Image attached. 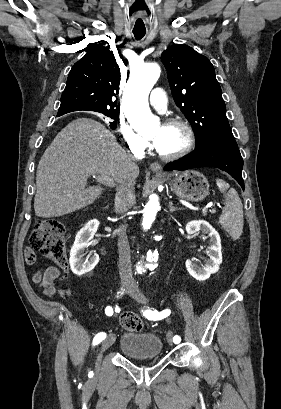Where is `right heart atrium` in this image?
Listing matches in <instances>:
<instances>
[{"label": "right heart atrium", "mask_w": 281, "mask_h": 409, "mask_svg": "<svg viewBox=\"0 0 281 409\" xmlns=\"http://www.w3.org/2000/svg\"><path fill=\"white\" fill-rule=\"evenodd\" d=\"M143 115H123L118 123V131L124 144L132 151L140 152L146 147L145 140L139 136Z\"/></svg>", "instance_id": "d8ad5b80"}]
</instances>
